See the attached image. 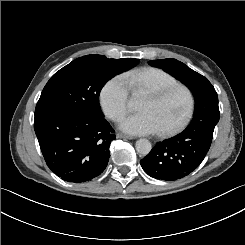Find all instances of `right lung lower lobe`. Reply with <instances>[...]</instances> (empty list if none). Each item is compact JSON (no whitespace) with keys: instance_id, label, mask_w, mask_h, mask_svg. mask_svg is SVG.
Returning <instances> with one entry per match:
<instances>
[{"instance_id":"right-lung-lower-lobe-1","label":"right lung lower lobe","mask_w":245,"mask_h":245,"mask_svg":"<svg viewBox=\"0 0 245 245\" xmlns=\"http://www.w3.org/2000/svg\"><path fill=\"white\" fill-rule=\"evenodd\" d=\"M34 129L47 166L61 179L86 182L106 168L115 134L104 118L51 111L35 115Z\"/></svg>"}]
</instances>
